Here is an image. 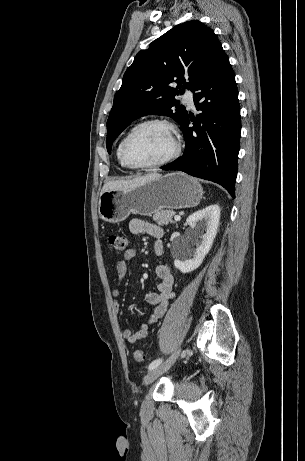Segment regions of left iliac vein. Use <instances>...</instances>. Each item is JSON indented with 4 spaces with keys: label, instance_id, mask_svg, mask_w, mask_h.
I'll return each instance as SVG.
<instances>
[{
    "label": "left iliac vein",
    "instance_id": "4c4485c4",
    "mask_svg": "<svg viewBox=\"0 0 305 461\" xmlns=\"http://www.w3.org/2000/svg\"><path fill=\"white\" fill-rule=\"evenodd\" d=\"M181 349L175 351L171 357L163 364L151 369L144 378V384L147 386L155 381L160 375L166 372L176 361Z\"/></svg>",
    "mask_w": 305,
    "mask_h": 461
}]
</instances>
